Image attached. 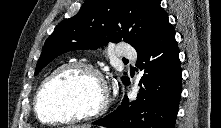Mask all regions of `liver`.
<instances>
[{"label":"liver","mask_w":221,"mask_h":128,"mask_svg":"<svg viewBox=\"0 0 221 128\" xmlns=\"http://www.w3.org/2000/svg\"><path fill=\"white\" fill-rule=\"evenodd\" d=\"M68 128H91V125H75V126H70Z\"/></svg>","instance_id":"liver-1"}]
</instances>
